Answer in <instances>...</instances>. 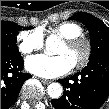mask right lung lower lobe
<instances>
[{
  "instance_id": "right-lung-lower-lobe-1",
  "label": "right lung lower lobe",
  "mask_w": 109,
  "mask_h": 109,
  "mask_svg": "<svg viewBox=\"0 0 109 109\" xmlns=\"http://www.w3.org/2000/svg\"><path fill=\"white\" fill-rule=\"evenodd\" d=\"M23 64L20 55L1 53V109H8L15 102L23 83L31 77L21 72Z\"/></svg>"
}]
</instances>
